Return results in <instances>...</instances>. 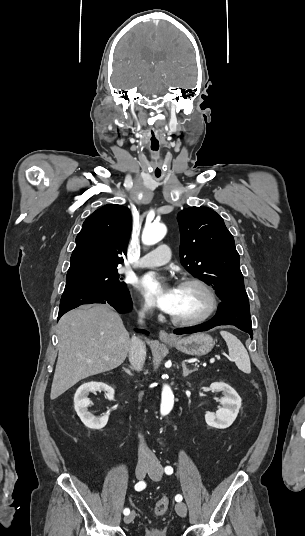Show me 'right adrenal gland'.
I'll return each instance as SVG.
<instances>
[{
    "label": "right adrenal gland",
    "mask_w": 305,
    "mask_h": 536,
    "mask_svg": "<svg viewBox=\"0 0 305 536\" xmlns=\"http://www.w3.org/2000/svg\"><path fill=\"white\" fill-rule=\"evenodd\" d=\"M123 370L126 372V374H129V376H132L131 370H128V368H123Z\"/></svg>",
    "instance_id": "1"
}]
</instances>
